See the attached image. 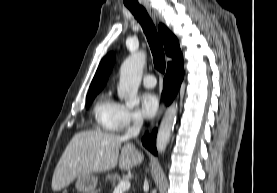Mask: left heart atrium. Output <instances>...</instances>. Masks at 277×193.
<instances>
[{"label": "left heart atrium", "mask_w": 277, "mask_h": 193, "mask_svg": "<svg viewBox=\"0 0 277 193\" xmlns=\"http://www.w3.org/2000/svg\"><path fill=\"white\" fill-rule=\"evenodd\" d=\"M141 112L144 117L152 118L158 111L159 100L152 92H145L140 97Z\"/></svg>", "instance_id": "obj_1"}]
</instances>
